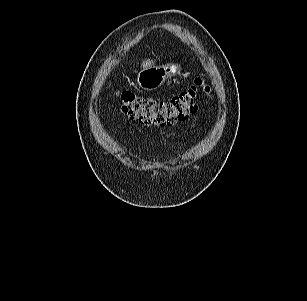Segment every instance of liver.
<instances>
[{"instance_id": "obj_1", "label": "liver", "mask_w": 307, "mask_h": 301, "mask_svg": "<svg viewBox=\"0 0 307 301\" xmlns=\"http://www.w3.org/2000/svg\"><path fill=\"white\" fill-rule=\"evenodd\" d=\"M152 64H154V62L148 59L146 61H143L142 67L147 68V67H150Z\"/></svg>"}]
</instances>
